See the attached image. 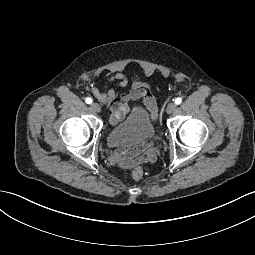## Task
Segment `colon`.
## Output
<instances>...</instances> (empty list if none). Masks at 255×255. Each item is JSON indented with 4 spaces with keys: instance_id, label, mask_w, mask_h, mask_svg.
Instances as JSON below:
<instances>
[{
    "instance_id": "colon-1",
    "label": "colon",
    "mask_w": 255,
    "mask_h": 255,
    "mask_svg": "<svg viewBox=\"0 0 255 255\" xmlns=\"http://www.w3.org/2000/svg\"><path fill=\"white\" fill-rule=\"evenodd\" d=\"M131 175L133 177V179L135 180H141L143 177V170L141 167L136 166L132 169L131 171Z\"/></svg>"
}]
</instances>
